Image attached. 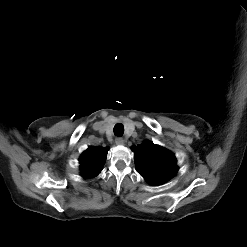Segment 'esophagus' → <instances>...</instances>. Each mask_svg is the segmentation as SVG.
<instances>
[{
    "instance_id": "34e87169",
    "label": "esophagus",
    "mask_w": 247,
    "mask_h": 247,
    "mask_svg": "<svg viewBox=\"0 0 247 247\" xmlns=\"http://www.w3.org/2000/svg\"><path fill=\"white\" fill-rule=\"evenodd\" d=\"M115 143H116L117 145H123V144L125 143V140H124L122 137H117V138L115 139Z\"/></svg>"
}]
</instances>
